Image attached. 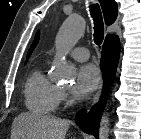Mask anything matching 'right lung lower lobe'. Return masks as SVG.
Returning a JSON list of instances; mask_svg holds the SVG:
<instances>
[{"instance_id": "obj_1", "label": "right lung lower lobe", "mask_w": 141, "mask_h": 139, "mask_svg": "<svg viewBox=\"0 0 141 139\" xmlns=\"http://www.w3.org/2000/svg\"><path fill=\"white\" fill-rule=\"evenodd\" d=\"M120 55V42L118 36L109 35L106 37L102 48L101 69L104 78V92L101 100L91 111L86 114L85 110L80 111L75 121L77 125L86 133L98 138V128L106 98L113 83L116 68Z\"/></svg>"}]
</instances>
